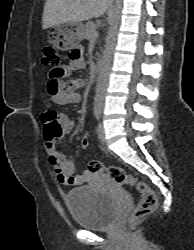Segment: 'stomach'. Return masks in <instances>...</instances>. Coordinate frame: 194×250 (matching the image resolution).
I'll return each instance as SVG.
<instances>
[{
	"label": "stomach",
	"instance_id": "0dacf381",
	"mask_svg": "<svg viewBox=\"0 0 194 250\" xmlns=\"http://www.w3.org/2000/svg\"><path fill=\"white\" fill-rule=\"evenodd\" d=\"M52 28V43L62 51L75 48L84 37V25L81 22L61 23Z\"/></svg>",
	"mask_w": 194,
	"mask_h": 250
}]
</instances>
